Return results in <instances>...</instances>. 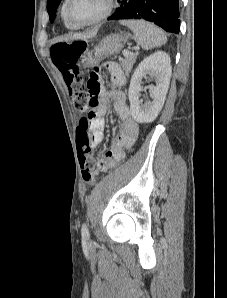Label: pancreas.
I'll return each instance as SVG.
<instances>
[{"label": "pancreas", "instance_id": "1", "mask_svg": "<svg viewBox=\"0 0 227 298\" xmlns=\"http://www.w3.org/2000/svg\"><path fill=\"white\" fill-rule=\"evenodd\" d=\"M135 61H136L135 56H130V57H127L126 59L122 60L121 65H122V68L126 74L130 73Z\"/></svg>", "mask_w": 227, "mask_h": 298}]
</instances>
